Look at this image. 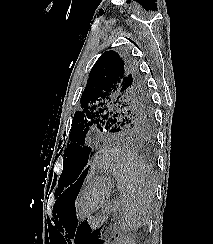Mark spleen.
Masks as SVG:
<instances>
[{"label": "spleen", "mask_w": 213, "mask_h": 244, "mask_svg": "<svg viewBox=\"0 0 213 244\" xmlns=\"http://www.w3.org/2000/svg\"><path fill=\"white\" fill-rule=\"evenodd\" d=\"M102 165L117 180L123 226L137 230L146 225L151 216L154 183L144 161L129 151L116 150L103 160Z\"/></svg>", "instance_id": "1"}]
</instances>
